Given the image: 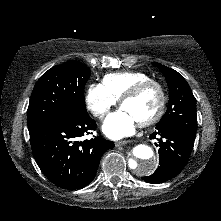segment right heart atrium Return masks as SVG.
<instances>
[{"label":"right heart atrium","mask_w":221,"mask_h":221,"mask_svg":"<svg viewBox=\"0 0 221 221\" xmlns=\"http://www.w3.org/2000/svg\"><path fill=\"white\" fill-rule=\"evenodd\" d=\"M117 99L101 83L90 84L86 91V106L98 119H104Z\"/></svg>","instance_id":"right-heart-atrium-1"}]
</instances>
